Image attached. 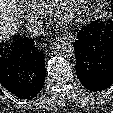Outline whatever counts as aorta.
I'll return each instance as SVG.
<instances>
[{
    "mask_svg": "<svg viewBox=\"0 0 113 113\" xmlns=\"http://www.w3.org/2000/svg\"><path fill=\"white\" fill-rule=\"evenodd\" d=\"M52 48L58 55L66 58H71L75 55L73 44L67 38H59L53 42Z\"/></svg>",
    "mask_w": 113,
    "mask_h": 113,
    "instance_id": "762f6f07",
    "label": "aorta"
}]
</instances>
